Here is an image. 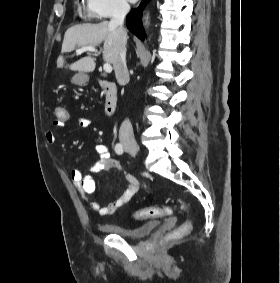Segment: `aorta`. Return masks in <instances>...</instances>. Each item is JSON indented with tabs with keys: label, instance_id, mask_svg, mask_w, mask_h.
Returning a JSON list of instances; mask_svg holds the SVG:
<instances>
[{
	"label": "aorta",
	"instance_id": "obj_1",
	"mask_svg": "<svg viewBox=\"0 0 280 283\" xmlns=\"http://www.w3.org/2000/svg\"><path fill=\"white\" fill-rule=\"evenodd\" d=\"M148 23V17H147V19H146V24Z\"/></svg>",
	"mask_w": 280,
	"mask_h": 283
}]
</instances>
